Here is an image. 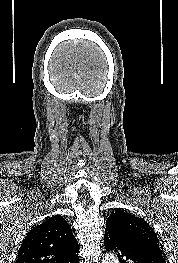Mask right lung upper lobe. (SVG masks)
<instances>
[{"mask_svg":"<svg viewBox=\"0 0 178 263\" xmlns=\"http://www.w3.org/2000/svg\"><path fill=\"white\" fill-rule=\"evenodd\" d=\"M78 251L71 226L63 217L55 215L27 233L15 263H68Z\"/></svg>","mask_w":178,"mask_h":263,"instance_id":"obj_1","label":"right lung upper lobe"}]
</instances>
